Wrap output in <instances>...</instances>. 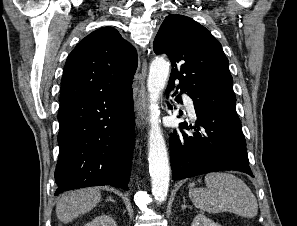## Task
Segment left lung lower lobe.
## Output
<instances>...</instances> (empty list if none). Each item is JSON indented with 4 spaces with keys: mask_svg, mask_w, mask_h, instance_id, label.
<instances>
[{
    "mask_svg": "<svg viewBox=\"0 0 297 226\" xmlns=\"http://www.w3.org/2000/svg\"><path fill=\"white\" fill-rule=\"evenodd\" d=\"M174 82L169 81L167 93ZM182 92H186L183 88ZM194 101L197 122L195 126L180 123L182 128L194 129L188 134L180 130L170 136L172 179L179 180L220 170H236L253 176L249 166L246 140L235 102L225 100ZM181 102V97H176ZM170 107V106H169ZM171 108V107H170Z\"/></svg>",
    "mask_w": 297,
    "mask_h": 226,
    "instance_id": "left-lung-lower-lobe-1",
    "label": "left lung lower lobe"
}]
</instances>
